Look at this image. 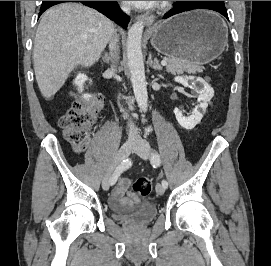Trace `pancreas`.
Wrapping results in <instances>:
<instances>
[{
  "mask_svg": "<svg viewBox=\"0 0 271 266\" xmlns=\"http://www.w3.org/2000/svg\"><path fill=\"white\" fill-rule=\"evenodd\" d=\"M166 61L168 62V64L166 65V70L171 74H181L185 71L191 73H200L203 70L202 66L184 60L168 58Z\"/></svg>",
  "mask_w": 271,
  "mask_h": 266,
  "instance_id": "cf45deb5",
  "label": "pancreas"
}]
</instances>
